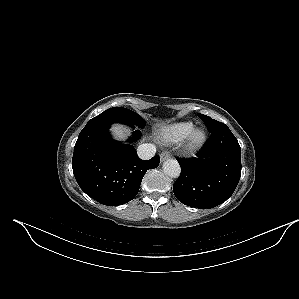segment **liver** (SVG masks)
Returning <instances> with one entry per match:
<instances>
[{
  "mask_svg": "<svg viewBox=\"0 0 299 299\" xmlns=\"http://www.w3.org/2000/svg\"><path fill=\"white\" fill-rule=\"evenodd\" d=\"M111 130L117 139L124 140L126 138L127 131L121 125H113Z\"/></svg>",
  "mask_w": 299,
  "mask_h": 299,
  "instance_id": "liver-1",
  "label": "liver"
}]
</instances>
